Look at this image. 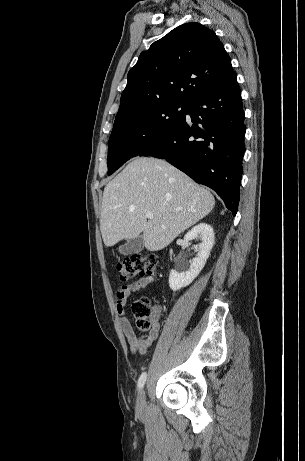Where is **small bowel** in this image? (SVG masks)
<instances>
[{
  "mask_svg": "<svg viewBox=\"0 0 305 461\" xmlns=\"http://www.w3.org/2000/svg\"><path fill=\"white\" fill-rule=\"evenodd\" d=\"M155 280L151 278H140L136 281L121 286L116 293V311L120 316L121 327L123 333L130 346L131 353L134 356L145 355L148 349L153 345L158 337L159 332V319L161 315V307L156 305L152 310V327L147 335H137L126 315L127 305L129 300L137 291L147 288L155 284Z\"/></svg>",
  "mask_w": 305,
  "mask_h": 461,
  "instance_id": "obj_1",
  "label": "small bowel"
}]
</instances>
